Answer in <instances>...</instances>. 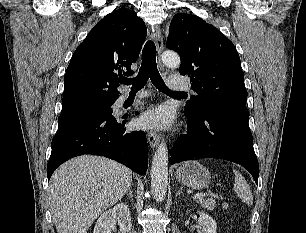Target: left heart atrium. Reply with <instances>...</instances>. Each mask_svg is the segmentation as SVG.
I'll use <instances>...</instances> for the list:
<instances>
[{
  "label": "left heart atrium",
  "instance_id": "39dd6f15",
  "mask_svg": "<svg viewBox=\"0 0 306 233\" xmlns=\"http://www.w3.org/2000/svg\"><path fill=\"white\" fill-rule=\"evenodd\" d=\"M172 112L166 106H157L144 112L138 124L143 129L159 130L171 125Z\"/></svg>",
  "mask_w": 306,
  "mask_h": 233
}]
</instances>
